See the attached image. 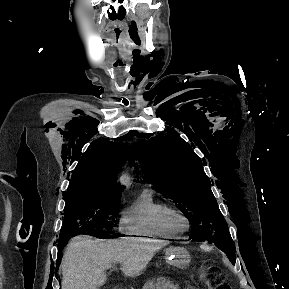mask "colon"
Returning a JSON list of instances; mask_svg holds the SVG:
<instances>
[{"label":"colon","mask_w":289,"mask_h":289,"mask_svg":"<svg viewBox=\"0 0 289 289\" xmlns=\"http://www.w3.org/2000/svg\"><path fill=\"white\" fill-rule=\"evenodd\" d=\"M204 279L207 283V285L210 287V289H231L230 285L226 282H223L219 279L218 273L213 268H207L205 269L204 273Z\"/></svg>","instance_id":"obj_1"}]
</instances>
